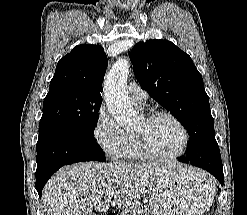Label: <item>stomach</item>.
Instances as JSON below:
<instances>
[{"mask_svg":"<svg viewBox=\"0 0 247 215\" xmlns=\"http://www.w3.org/2000/svg\"><path fill=\"white\" fill-rule=\"evenodd\" d=\"M215 185L195 168H172L152 189L149 197L155 215H202L211 205Z\"/></svg>","mask_w":247,"mask_h":215,"instance_id":"1","label":"stomach"}]
</instances>
